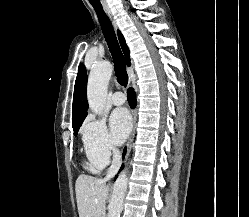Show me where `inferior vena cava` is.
I'll return each instance as SVG.
<instances>
[{"label": "inferior vena cava", "mask_w": 249, "mask_h": 217, "mask_svg": "<svg viewBox=\"0 0 249 217\" xmlns=\"http://www.w3.org/2000/svg\"><path fill=\"white\" fill-rule=\"evenodd\" d=\"M111 149L113 152V160H112L111 167L104 180H108L109 178H112L113 176H115V174L118 172L119 167H120V160H121L120 151L115 147H112Z\"/></svg>", "instance_id": "602c4592"}]
</instances>
